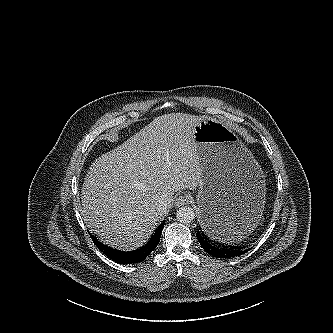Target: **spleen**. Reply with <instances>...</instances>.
<instances>
[{"instance_id": "3e777b00", "label": "spleen", "mask_w": 333, "mask_h": 333, "mask_svg": "<svg viewBox=\"0 0 333 333\" xmlns=\"http://www.w3.org/2000/svg\"><path fill=\"white\" fill-rule=\"evenodd\" d=\"M252 229L249 227H241L238 229L229 230V232L222 238V241H239L245 238ZM221 241V240H219Z\"/></svg>"}]
</instances>
